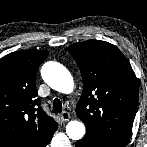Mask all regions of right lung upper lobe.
<instances>
[{
    "mask_svg": "<svg viewBox=\"0 0 147 147\" xmlns=\"http://www.w3.org/2000/svg\"><path fill=\"white\" fill-rule=\"evenodd\" d=\"M48 54L20 50L0 59V147H40L58 128L36 97V72Z\"/></svg>",
    "mask_w": 147,
    "mask_h": 147,
    "instance_id": "right-lung-upper-lobe-1",
    "label": "right lung upper lobe"
}]
</instances>
